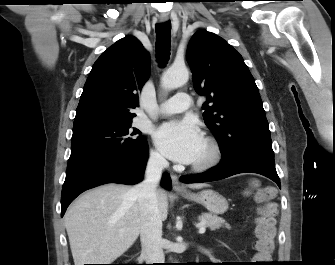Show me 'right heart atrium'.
<instances>
[{
  "label": "right heart atrium",
  "mask_w": 335,
  "mask_h": 265,
  "mask_svg": "<svg viewBox=\"0 0 335 265\" xmlns=\"http://www.w3.org/2000/svg\"><path fill=\"white\" fill-rule=\"evenodd\" d=\"M149 159L153 165L158 167L164 166L166 163L164 157L156 149L151 150Z\"/></svg>",
  "instance_id": "right-heart-atrium-1"
}]
</instances>
